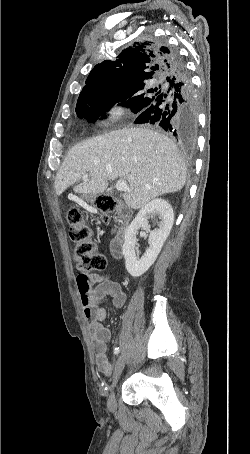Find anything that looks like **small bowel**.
Returning <instances> with one entry per match:
<instances>
[{
  "label": "small bowel",
  "instance_id": "small-bowel-1",
  "mask_svg": "<svg viewBox=\"0 0 250 454\" xmlns=\"http://www.w3.org/2000/svg\"><path fill=\"white\" fill-rule=\"evenodd\" d=\"M76 283L84 306V313L88 320L91 340L95 348L96 366L102 374L110 376L116 366H113L107 355V342L111 338V331L102 324L107 318V313L104 309L91 304L89 299L90 288L96 284L94 297L103 299L110 296L116 308L124 307L126 294L119 283L99 274L88 275L81 273L77 276Z\"/></svg>",
  "mask_w": 250,
  "mask_h": 454
}]
</instances>
